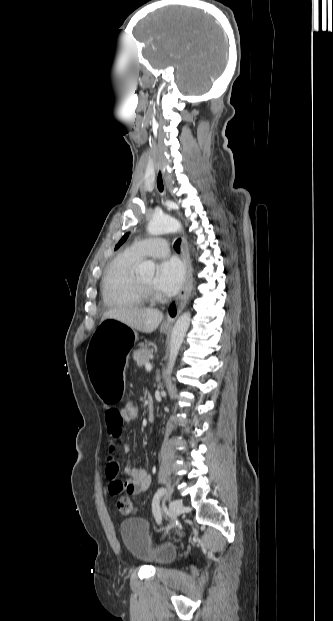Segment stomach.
<instances>
[{
	"mask_svg": "<svg viewBox=\"0 0 333 621\" xmlns=\"http://www.w3.org/2000/svg\"><path fill=\"white\" fill-rule=\"evenodd\" d=\"M137 338L133 328L117 320L106 319L88 344L87 374L92 379L95 393L105 402L107 411H116L123 400L126 353Z\"/></svg>",
	"mask_w": 333,
	"mask_h": 621,
	"instance_id": "stomach-1",
	"label": "stomach"
}]
</instances>
